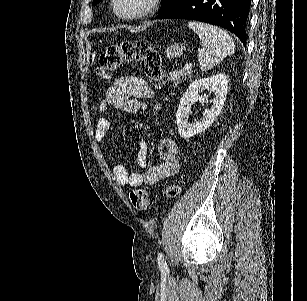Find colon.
Instances as JSON below:
<instances>
[{
  "instance_id": "1",
  "label": "colon",
  "mask_w": 307,
  "mask_h": 301,
  "mask_svg": "<svg viewBox=\"0 0 307 301\" xmlns=\"http://www.w3.org/2000/svg\"><path fill=\"white\" fill-rule=\"evenodd\" d=\"M132 61L139 62L142 71L150 79L158 81L162 78L160 55L148 40L122 41L108 46L99 57L96 72L101 78L107 79L117 66ZM180 192L181 187L178 184L162 190L169 198L178 196ZM129 197L135 209L143 211L148 208L150 196L146 189H133Z\"/></svg>"
}]
</instances>
